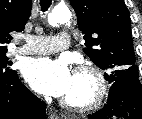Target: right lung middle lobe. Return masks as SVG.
I'll list each match as a JSON object with an SVG mask.
<instances>
[{
	"instance_id": "1",
	"label": "right lung middle lobe",
	"mask_w": 142,
	"mask_h": 119,
	"mask_svg": "<svg viewBox=\"0 0 142 119\" xmlns=\"http://www.w3.org/2000/svg\"><path fill=\"white\" fill-rule=\"evenodd\" d=\"M6 52L7 50L0 52V80H7L16 74L15 70L9 68L11 62L8 61V58L5 55Z\"/></svg>"
}]
</instances>
